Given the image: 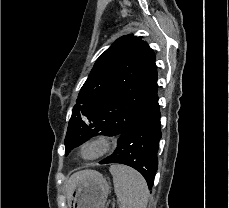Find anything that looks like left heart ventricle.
<instances>
[{
    "label": "left heart ventricle",
    "instance_id": "b2bd125f",
    "mask_svg": "<svg viewBox=\"0 0 229 208\" xmlns=\"http://www.w3.org/2000/svg\"><path fill=\"white\" fill-rule=\"evenodd\" d=\"M105 139H106V137H105ZM107 139L109 140L108 142L110 143V146H111L110 139L109 138H107ZM109 147H84L82 154H83V156L88 157V158L94 157V156H97V155L103 153L104 151L109 149Z\"/></svg>",
    "mask_w": 229,
    "mask_h": 208
}]
</instances>
